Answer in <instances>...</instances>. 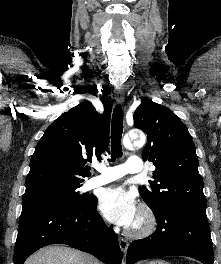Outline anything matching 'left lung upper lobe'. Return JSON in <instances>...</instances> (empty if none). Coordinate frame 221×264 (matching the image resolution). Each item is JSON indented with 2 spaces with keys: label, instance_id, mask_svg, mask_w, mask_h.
I'll return each instance as SVG.
<instances>
[{
  "label": "left lung upper lobe",
  "instance_id": "1",
  "mask_svg": "<svg viewBox=\"0 0 221 264\" xmlns=\"http://www.w3.org/2000/svg\"><path fill=\"white\" fill-rule=\"evenodd\" d=\"M134 126L147 134L143 160L156 167L150 186L139 187L152 211L172 207L206 209L195 145L183 122L167 107L142 100L134 113Z\"/></svg>",
  "mask_w": 221,
  "mask_h": 264
}]
</instances>
